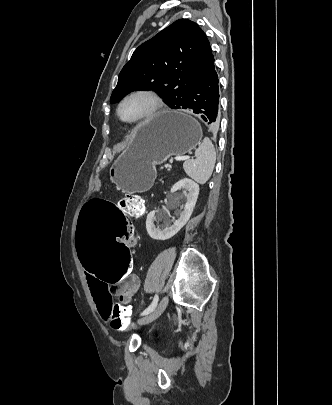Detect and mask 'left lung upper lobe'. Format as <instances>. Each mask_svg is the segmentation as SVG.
Listing matches in <instances>:
<instances>
[{
	"instance_id": "obj_1",
	"label": "left lung upper lobe",
	"mask_w": 332,
	"mask_h": 405,
	"mask_svg": "<svg viewBox=\"0 0 332 405\" xmlns=\"http://www.w3.org/2000/svg\"><path fill=\"white\" fill-rule=\"evenodd\" d=\"M210 55V43L198 24L179 19L134 51L119 74L110 103L134 90L151 89L169 107L179 109Z\"/></svg>"
}]
</instances>
